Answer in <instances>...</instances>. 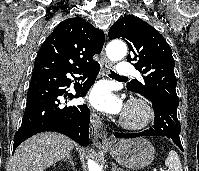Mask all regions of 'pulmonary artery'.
I'll list each match as a JSON object with an SVG mask.
<instances>
[{
	"instance_id": "obj_1",
	"label": "pulmonary artery",
	"mask_w": 199,
	"mask_h": 171,
	"mask_svg": "<svg viewBox=\"0 0 199 171\" xmlns=\"http://www.w3.org/2000/svg\"><path fill=\"white\" fill-rule=\"evenodd\" d=\"M134 72V66L128 62H120L117 66V73L121 76H130Z\"/></svg>"
}]
</instances>
